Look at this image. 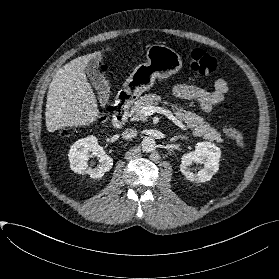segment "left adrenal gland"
Segmentation results:
<instances>
[{"label": "left adrenal gland", "instance_id": "obj_1", "mask_svg": "<svg viewBox=\"0 0 279 279\" xmlns=\"http://www.w3.org/2000/svg\"><path fill=\"white\" fill-rule=\"evenodd\" d=\"M177 139H188V138L186 136H184V135H178V136H175L172 139H170V142H173V141H175Z\"/></svg>", "mask_w": 279, "mask_h": 279}]
</instances>
